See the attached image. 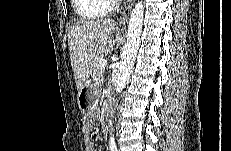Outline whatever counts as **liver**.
Here are the masks:
<instances>
[{
  "mask_svg": "<svg viewBox=\"0 0 231 151\" xmlns=\"http://www.w3.org/2000/svg\"><path fill=\"white\" fill-rule=\"evenodd\" d=\"M115 23L109 19L81 20L68 29L71 66L77 90H81L94 66L106 52L114 50Z\"/></svg>",
  "mask_w": 231,
  "mask_h": 151,
  "instance_id": "6515ba94",
  "label": "liver"
}]
</instances>
